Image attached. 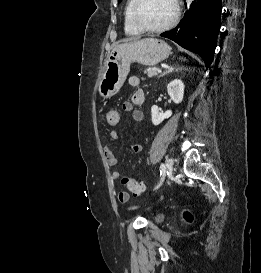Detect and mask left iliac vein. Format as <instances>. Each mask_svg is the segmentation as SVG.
I'll list each match as a JSON object with an SVG mask.
<instances>
[{
  "instance_id": "left-iliac-vein-1",
  "label": "left iliac vein",
  "mask_w": 261,
  "mask_h": 273,
  "mask_svg": "<svg viewBox=\"0 0 261 273\" xmlns=\"http://www.w3.org/2000/svg\"><path fill=\"white\" fill-rule=\"evenodd\" d=\"M165 167H166L165 171H167L170 174L173 169V159L172 158L166 159Z\"/></svg>"
}]
</instances>
